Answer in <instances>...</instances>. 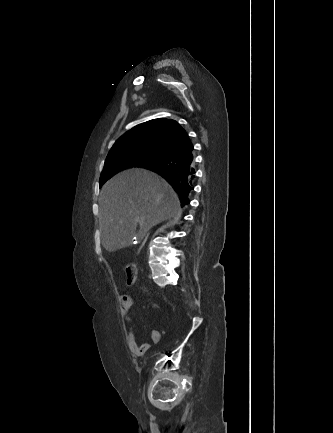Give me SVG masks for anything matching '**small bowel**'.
I'll use <instances>...</instances> for the list:
<instances>
[{
	"instance_id": "small-bowel-1",
	"label": "small bowel",
	"mask_w": 333,
	"mask_h": 433,
	"mask_svg": "<svg viewBox=\"0 0 333 433\" xmlns=\"http://www.w3.org/2000/svg\"><path fill=\"white\" fill-rule=\"evenodd\" d=\"M133 305V299L130 295L124 294L120 297V312L126 324L132 323L130 309ZM151 339L153 343H158L161 340V334L158 330L153 329L151 332ZM129 347L131 352L136 356H143L150 348L148 342H138L133 327H130L128 335Z\"/></svg>"
}]
</instances>
